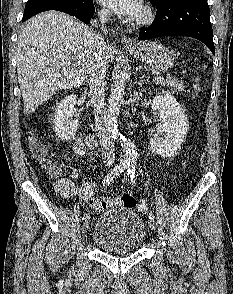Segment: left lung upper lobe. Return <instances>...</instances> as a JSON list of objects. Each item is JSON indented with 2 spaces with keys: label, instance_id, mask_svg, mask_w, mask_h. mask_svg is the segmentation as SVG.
Returning <instances> with one entry per match:
<instances>
[{
  "label": "left lung upper lobe",
  "instance_id": "5c2ea615",
  "mask_svg": "<svg viewBox=\"0 0 233 294\" xmlns=\"http://www.w3.org/2000/svg\"><path fill=\"white\" fill-rule=\"evenodd\" d=\"M157 1H159V0H150V2L153 4L156 3Z\"/></svg>",
  "mask_w": 233,
  "mask_h": 294
}]
</instances>
